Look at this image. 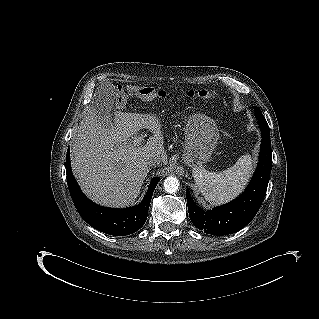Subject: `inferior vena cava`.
<instances>
[{
    "label": "inferior vena cava",
    "mask_w": 319,
    "mask_h": 319,
    "mask_svg": "<svg viewBox=\"0 0 319 319\" xmlns=\"http://www.w3.org/2000/svg\"><path fill=\"white\" fill-rule=\"evenodd\" d=\"M161 163H162V158L160 156H158V155L151 156L147 160V165L149 167H155V166L160 165Z\"/></svg>",
    "instance_id": "602c4592"
}]
</instances>
